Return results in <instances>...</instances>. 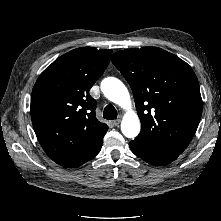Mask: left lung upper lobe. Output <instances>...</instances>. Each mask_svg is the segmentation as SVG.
Segmentation results:
<instances>
[{
    "label": "left lung upper lobe",
    "mask_w": 221,
    "mask_h": 221,
    "mask_svg": "<svg viewBox=\"0 0 221 221\" xmlns=\"http://www.w3.org/2000/svg\"><path fill=\"white\" fill-rule=\"evenodd\" d=\"M112 63L130 84L142 129L134 144L182 153L202 114L199 83L192 68L158 47L114 53Z\"/></svg>",
    "instance_id": "obj_1"
}]
</instances>
